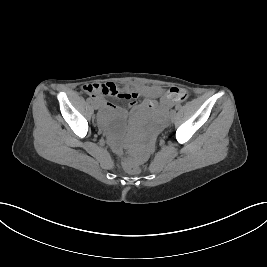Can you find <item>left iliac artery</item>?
I'll return each mask as SVG.
<instances>
[{
	"mask_svg": "<svg viewBox=\"0 0 267 267\" xmlns=\"http://www.w3.org/2000/svg\"><path fill=\"white\" fill-rule=\"evenodd\" d=\"M175 113H176V111H175V110H172V111H171V114H172V115H174Z\"/></svg>",
	"mask_w": 267,
	"mask_h": 267,
	"instance_id": "obj_1",
	"label": "left iliac artery"
}]
</instances>
